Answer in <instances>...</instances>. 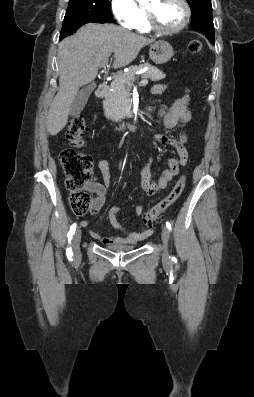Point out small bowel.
Here are the masks:
<instances>
[{"label": "small bowel", "mask_w": 254, "mask_h": 397, "mask_svg": "<svg viewBox=\"0 0 254 397\" xmlns=\"http://www.w3.org/2000/svg\"><path fill=\"white\" fill-rule=\"evenodd\" d=\"M167 89L166 84H156L152 88L153 94H161ZM190 100L189 90L187 89L183 96L178 98L171 106H161L158 115L162 117L164 126L167 129H173L175 127H180L183 131L178 139H170L164 135L157 134L155 139L161 143L169 144L175 154V158H170L168 160V167L163 169L157 177H153L151 165L152 157L149 158L147 164L140 171L141 185L142 189L148 196H155L160 194L171 184L173 178L179 173L180 167L184 166L188 160V153L184 146L187 135L185 132L186 126L192 120V113L188 109ZM99 169L103 177L102 184H91L88 186L90 190L96 193V198L93 200L91 206V214L93 216L98 215L105 203V195L107 189L110 185V171L109 163L107 160H101L98 163ZM123 209L117 206L110 208L108 211V220L113 228L119 230L123 233V236H113L106 237L98 232L90 230L91 236L98 242L109 245L116 246L122 244H135L139 241L144 240L152 234V229H143L139 232L127 231L118 221L117 215L122 213ZM135 212L139 215L144 213V207L137 204L135 206ZM81 225L83 227L87 226V222L82 221Z\"/></svg>", "instance_id": "small-bowel-1"}]
</instances>
